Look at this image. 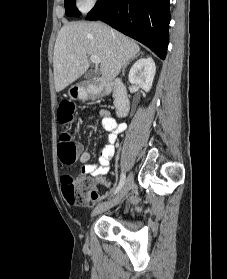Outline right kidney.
<instances>
[{"label":"right kidney","instance_id":"obj_1","mask_svg":"<svg viewBox=\"0 0 227 279\" xmlns=\"http://www.w3.org/2000/svg\"><path fill=\"white\" fill-rule=\"evenodd\" d=\"M156 72V66L152 57L141 58L136 61L129 71V81L139 85L143 90L149 92Z\"/></svg>","mask_w":227,"mask_h":279}]
</instances>
